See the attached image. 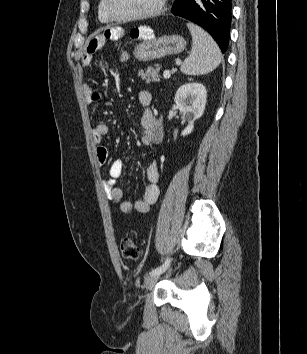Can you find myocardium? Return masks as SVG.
Here are the masks:
<instances>
[{
    "mask_svg": "<svg viewBox=\"0 0 307 354\" xmlns=\"http://www.w3.org/2000/svg\"><path fill=\"white\" fill-rule=\"evenodd\" d=\"M167 1L168 0H158L157 4L152 9L142 13L133 14V15H119L113 10L112 1L104 0L105 9L109 17L112 20L119 21V22L137 21V20H143V19L155 17L164 10Z\"/></svg>",
    "mask_w": 307,
    "mask_h": 354,
    "instance_id": "f54148a6",
    "label": "myocardium"
}]
</instances>
